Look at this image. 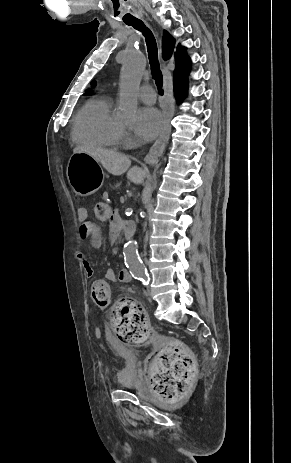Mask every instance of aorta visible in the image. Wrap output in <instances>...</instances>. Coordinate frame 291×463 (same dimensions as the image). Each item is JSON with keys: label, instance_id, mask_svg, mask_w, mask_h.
I'll return each mask as SVG.
<instances>
[{"label": "aorta", "instance_id": "aorta-1", "mask_svg": "<svg viewBox=\"0 0 291 463\" xmlns=\"http://www.w3.org/2000/svg\"><path fill=\"white\" fill-rule=\"evenodd\" d=\"M145 57L137 52L130 51L121 68L120 77V109L125 118H133L137 111V98L140 82L145 71ZM149 193L143 197V203L148 200ZM124 260L132 275L139 278L146 276V268L139 257L137 242L130 241L124 248Z\"/></svg>", "mask_w": 291, "mask_h": 463}]
</instances>
